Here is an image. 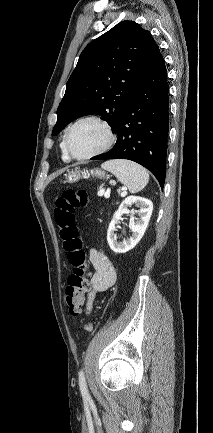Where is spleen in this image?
Listing matches in <instances>:
<instances>
[{
    "label": "spleen",
    "instance_id": "1",
    "mask_svg": "<svg viewBox=\"0 0 213 433\" xmlns=\"http://www.w3.org/2000/svg\"><path fill=\"white\" fill-rule=\"evenodd\" d=\"M101 167L111 172L130 193L141 191L149 181V174L142 166L128 160H110Z\"/></svg>",
    "mask_w": 213,
    "mask_h": 433
}]
</instances>
